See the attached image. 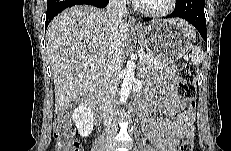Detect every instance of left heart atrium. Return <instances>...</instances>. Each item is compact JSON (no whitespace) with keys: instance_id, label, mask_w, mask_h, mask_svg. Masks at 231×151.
<instances>
[{"instance_id":"left-heart-atrium-1","label":"left heart atrium","mask_w":231,"mask_h":151,"mask_svg":"<svg viewBox=\"0 0 231 151\" xmlns=\"http://www.w3.org/2000/svg\"><path fill=\"white\" fill-rule=\"evenodd\" d=\"M148 0H134L135 3H145Z\"/></svg>"}]
</instances>
